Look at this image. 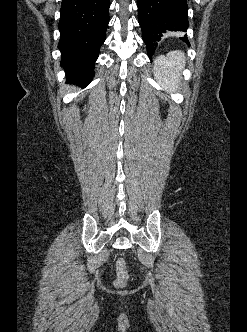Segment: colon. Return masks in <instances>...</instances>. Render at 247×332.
Instances as JSON below:
<instances>
[{
  "label": "colon",
  "mask_w": 247,
  "mask_h": 332,
  "mask_svg": "<svg viewBox=\"0 0 247 332\" xmlns=\"http://www.w3.org/2000/svg\"><path fill=\"white\" fill-rule=\"evenodd\" d=\"M128 281V271L125 260L120 258L116 262V279L114 282L115 287L123 288Z\"/></svg>",
  "instance_id": "5ec220e1"
}]
</instances>
